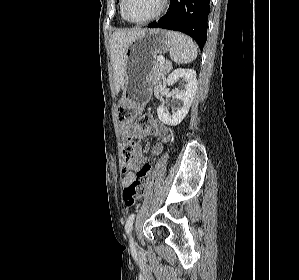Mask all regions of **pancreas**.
<instances>
[{
	"label": "pancreas",
	"instance_id": "cf45deb5",
	"mask_svg": "<svg viewBox=\"0 0 299 280\" xmlns=\"http://www.w3.org/2000/svg\"><path fill=\"white\" fill-rule=\"evenodd\" d=\"M169 71V64L165 63L162 65L158 60L153 63L151 72H150V81L153 84H158L161 82V79Z\"/></svg>",
	"mask_w": 299,
	"mask_h": 280
}]
</instances>
